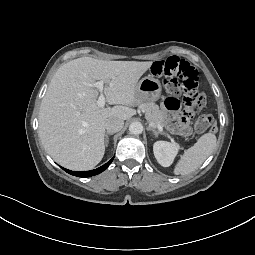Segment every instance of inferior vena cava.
Returning <instances> with one entry per match:
<instances>
[{"instance_id":"602c4592","label":"inferior vena cava","mask_w":255,"mask_h":255,"mask_svg":"<svg viewBox=\"0 0 255 255\" xmlns=\"http://www.w3.org/2000/svg\"><path fill=\"white\" fill-rule=\"evenodd\" d=\"M124 121L119 118H109L105 123V128L109 133H116L122 129Z\"/></svg>"}]
</instances>
